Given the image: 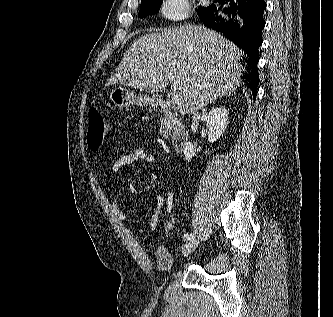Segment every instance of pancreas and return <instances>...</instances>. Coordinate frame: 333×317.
Returning <instances> with one entry per match:
<instances>
[{
    "mask_svg": "<svg viewBox=\"0 0 333 317\" xmlns=\"http://www.w3.org/2000/svg\"><path fill=\"white\" fill-rule=\"evenodd\" d=\"M171 119H172V120H175V117L172 116ZM160 133H161L165 138H167V137L170 135V129H169V128H165V129L161 130Z\"/></svg>",
    "mask_w": 333,
    "mask_h": 317,
    "instance_id": "1",
    "label": "pancreas"
}]
</instances>
